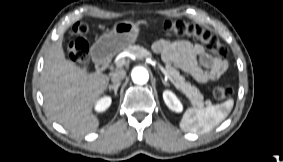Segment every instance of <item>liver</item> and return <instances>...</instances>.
Returning <instances> with one entry per match:
<instances>
[{
  "label": "liver",
  "mask_w": 283,
  "mask_h": 162,
  "mask_svg": "<svg viewBox=\"0 0 283 162\" xmlns=\"http://www.w3.org/2000/svg\"><path fill=\"white\" fill-rule=\"evenodd\" d=\"M111 75L99 71L89 73L86 68L66 59L62 41L58 40L45 56L41 73L48 115L69 132L95 131L99 119L93 113V105L104 94Z\"/></svg>",
  "instance_id": "6515ba94"
}]
</instances>
